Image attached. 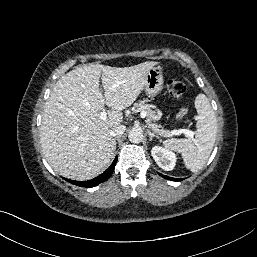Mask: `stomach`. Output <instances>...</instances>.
Instances as JSON below:
<instances>
[{"label": "stomach", "instance_id": "stomach-1", "mask_svg": "<svg viewBox=\"0 0 257 257\" xmlns=\"http://www.w3.org/2000/svg\"><path fill=\"white\" fill-rule=\"evenodd\" d=\"M163 83L161 67H152L146 76L144 90L150 98H154L162 90Z\"/></svg>", "mask_w": 257, "mask_h": 257}]
</instances>
